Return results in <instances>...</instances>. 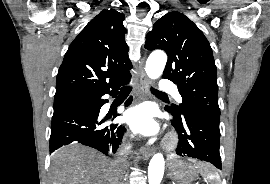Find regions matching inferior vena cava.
Returning a JSON list of instances; mask_svg holds the SVG:
<instances>
[{
  "instance_id": "obj_1",
  "label": "inferior vena cava",
  "mask_w": 270,
  "mask_h": 184,
  "mask_svg": "<svg viewBox=\"0 0 270 184\" xmlns=\"http://www.w3.org/2000/svg\"><path fill=\"white\" fill-rule=\"evenodd\" d=\"M130 150H131V145L125 144L117 152V158L114 161V164L116 165L119 173L125 170V167H126L125 163H126V159Z\"/></svg>"
}]
</instances>
